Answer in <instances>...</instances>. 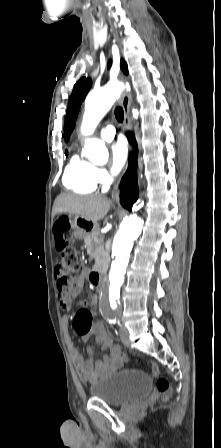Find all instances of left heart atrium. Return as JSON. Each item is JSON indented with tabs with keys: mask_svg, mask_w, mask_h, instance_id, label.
Instances as JSON below:
<instances>
[{
	"mask_svg": "<svg viewBox=\"0 0 221 448\" xmlns=\"http://www.w3.org/2000/svg\"><path fill=\"white\" fill-rule=\"evenodd\" d=\"M111 172L118 174L124 167L127 158V147L124 142L118 141L110 147Z\"/></svg>",
	"mask_w": 221,
	"mask_h": 448,
	"instance_id": "obj_1",
	"label": "left heart atrium"
}]
</instances>
